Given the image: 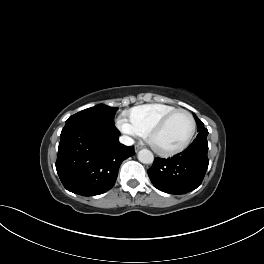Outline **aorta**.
<instances>
[{
	"mask_svg": "<svg viewBox=\"0 0 264 264\" xmlns=\"http://www.w3.org/2000/svg\"><path fill=\"white\" fill-rule=\"evenodd\" d=\"M138 160L143 164H152L154 161L153 153L148 149H142L138 152Z\"/></svg>",
	"mask_w": 264,
	"mask_h": 264,
	"instance_id": "obj_1",
	"label": "aorta"
}]
</instances>
